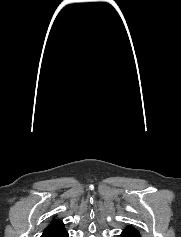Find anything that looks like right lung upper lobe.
<instances>
[{"instance_id":"obj_1","label":"right lung upper lobe","mask_w":181,"mask_h":237,"mask_svg":"<svg viewBox=\"0 0 181 237\" xmlns=\"http://www.w3.org/2000/svg\"><path fill=\"white\" fill-rule=\"evenodd\" d=\"M62 220H52L51 223L46 227L41 237H61L66 233Z\"/></svg>"}]
</instances>
